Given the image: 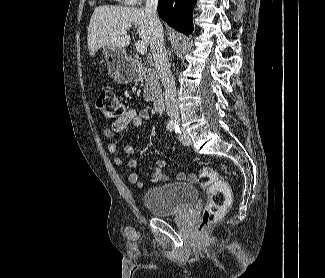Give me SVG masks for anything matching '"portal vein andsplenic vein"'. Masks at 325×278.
I'll return each mask as SVG.
<instances>
[{
    "mask_svg": "<svg viewBox=\"0 0 325 278\" xmlns=\"http://www.w3.org/2000/svg\"><path fill=\"white\" fill-rule=\"evenodd\" d=\"M135 45H136V49H137V51L141 54V55H145L146 54V52H147V46H146V44L143 42V41H137L136 43H135Z\"/></svg>",
    "mask_w": 325,
    "mask_h": 278,
    "instance_id": "obj_1",
    "label": "portal vein and splenic vein"
}]
</instances>
